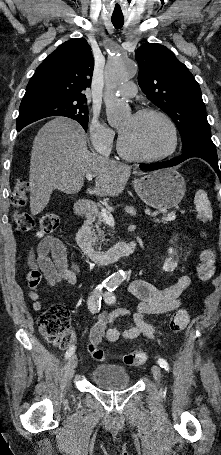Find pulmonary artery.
Segmentation results:
<instances>
[{"label": "pulmonary artery", "mask_w": 221, "mask_h": 455, "mask_svg": "<svg viewBox=\"0 0 221 455\" xmlns=\"http://www.w3.org/2000/svg\"><path fill=\"white\" fill-rule=\"evenodd\" d=\"M118 94L124 98H131L137 93V86L134 82H125L118 88Z\"/></svg>", "instance_id": "e3ab8cb5"}]
</instances>
